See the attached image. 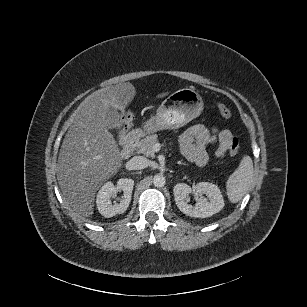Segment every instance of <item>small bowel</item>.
<instances>
[{
    "mask_svg": "<svg viewBox=\"0 0 307 307\" xmlns=\"http://www.w3.org/2000/svg\"><path fill=\"white\" fill-rule=\"evenodd\" d=\"M236 139L229 129L218 130L203 125H194L180 137V151L190 162L204 166L209 161L208 146L216 144L214 156L221 158L230 148L231 141Z\"/></svg>",
    "mask_w": 307,
    "mask_h": 307,
    "instance_id": "obj_1",
    "label": "small bowel"
}]
</instances>
